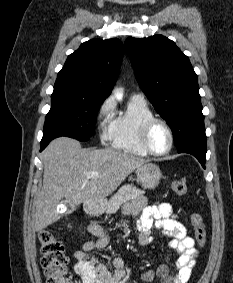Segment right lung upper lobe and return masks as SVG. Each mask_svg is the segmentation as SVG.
Returning <instances> with one entry per match:
<instances>
[{
  "label": "right lung upper lobe",
  "mask_w": 233,
  "mask_h": 283,
  "mask_svg": "<svg viewBox=\"0 0 233 283\" xmlns=\"http://www.w3.org/2000/svg\"><path fill=\"white\" fill-rule=\"evenodd\" d=\"M122 58L123 44L117 38L84 42L68 56L54 89L103 102L116 82Z\"/></svg>",
  "instance_id": "obj_1"
}]
</instances>
